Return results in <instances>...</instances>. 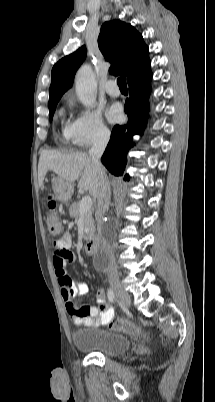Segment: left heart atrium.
I'll use <instances>...</instances> for the list:
<instances>
[{"instance_id": "1", "label": "left heart atrium", "mask_w": 215, "mask_h": 402, "mask_svg": "<svg viewBox=\"0 0 215 402\" xmlns=\"http://www.w3.org/2000/svg\"><path fill=\"white\" fill-rule=\"evenodd\" d=\"M107 118L110 122H118L122 118V107L118 103L112 104L107 110Z\"/></svg>"}]
</instances>
